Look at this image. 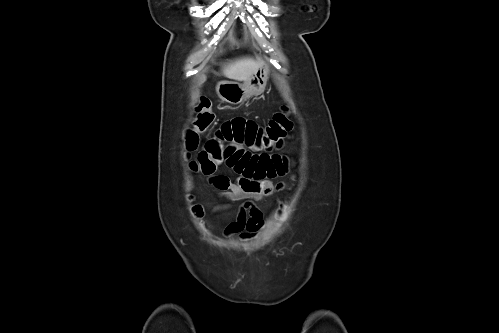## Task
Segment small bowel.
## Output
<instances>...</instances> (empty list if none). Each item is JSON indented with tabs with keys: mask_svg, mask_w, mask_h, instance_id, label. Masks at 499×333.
<instances>
[{
	"mask_svg": "<svg viewBox=\"0 0 499 333\" xmlns=\"http://www.w3.org/2000/svg\"><path fill=\"white\" fill-rule=\"evenodd\" d=\"M264 128L244 118L225 122L216 134L223 144L225 161L239 177L235 182L223 175L211 178L212 184L233 201H245L235 221L224 230V235L237 234L246 240L255 236L263 226L262 214L252 205L275 191L284 188L270 179L283 175L286 159L273 150L280 147L282 139L272 147L263 145Z\"/></svg>",
	"mask_w": 499,
	"mask_h": 333,
	"instance_id": "small-bowel-1",
	"label": "small bowel"
}]
</instances>
